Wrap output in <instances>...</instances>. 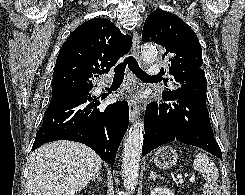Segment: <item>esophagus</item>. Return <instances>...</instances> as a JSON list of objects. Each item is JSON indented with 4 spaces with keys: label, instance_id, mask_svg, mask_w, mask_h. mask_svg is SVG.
Returning <instances> with one entry per match:
<instances>
[{
    "label": "esophagus",
    "instance_id": "34e87169",
    "mask_svg": "<svg viewBox=\"0 0 245 195\" xmlns=\"http://www.w3.org/2000/svg\"><path fill=\"white\" fill-rule=\"evenodd\" d=\"M132 55L135 58L140 59V37L136 31L133 32ZM128 105H129L130 121L135 122V120L138 117L139 107L136 101L131 98L128 100Z\"/></svg>",
    "mask_w": 245,
    "mask_h": 195
}]
</instances>
